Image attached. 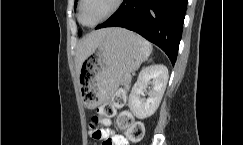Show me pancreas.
I'll return each instance as SVG.
<instances>
[{"label": "pancreas", "instance_id": "obj_1", "mask_svg": "<svg viewBox=\"0 0 243 145\" xmlns=\"http://www.w3.org/2000/svg\"><path fill=\"white\" fill-rule=\"evenodd\" d=\"M130 80H131V77H130L129 75H124V76L122 77V79H121V83H122L123 85H126V84H128V83L130 82Z\"/></svg>", "mask_w": 243, "mask_h": 145}]
</instances>
